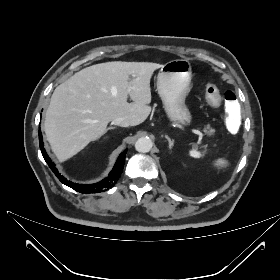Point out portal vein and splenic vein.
Here are the masks:
<instances>
[{
    "label": "portal vein and splenic vein",
    "mask_w": 280,
    "mask_h": 280,
    "mask_svg": "<svg viewBox=\"0 0 280 280\" xmlns=\"http://www.w3.org/2000/svg\"><path fill=\"white\" fill-rule=\"evenodd\" d=\"M131 90H132V87H131V85H129L127 91L130 92ZM193 132L199 136H203V133L200 132L199 130H193Z\"/></svg>",
    "instance_id": "18ae733b"
}]
</instances>
